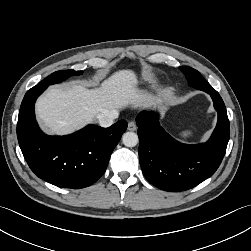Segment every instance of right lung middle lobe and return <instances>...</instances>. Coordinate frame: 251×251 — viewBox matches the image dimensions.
<instances>
[{
  "instance_id": "right-lung-middle-lobe-1",
  "label": "right lung middle lobe",
  "mask_w": 251,
  "mask_h": 251,
  "mask_svg": "<svg viewBox=\"0 0 251 251\" xmlns=\"http://www.w3.org/2000/svg\"><path fill=\"white\" fill-rule=\"evenodd\" d=\"M82 71H74V70H62L57 71L46 77L44 80L39 82L38 86H49L51 84L59 83L64 81L65 79L75 76V75H81Z\"/></svg>"
}]
</instances>
